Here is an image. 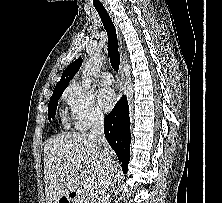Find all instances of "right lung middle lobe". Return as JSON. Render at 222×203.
<instances>
[{
    "label": "right lung middle lobe",
    "mask_w": 222,
    "mask_h": 203,
    "mask_svg": "<svg viewBox=\"0 0 222 203\" xmlns=\"http://www.w3.org/2000/svg\"><path fill=\"white\" fill-rule=\"evenodd\" d=\"M63 91H56L53 92V95L50 98L49 104H48V119L51 120V118L55 117V112L58 104V100L61 97Z\"/></svg>",
    "instance_id": "1"
}]
</instances>
